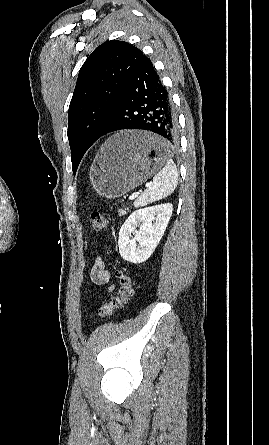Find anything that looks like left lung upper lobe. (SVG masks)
I'll return each mask as SVG.
<instances>
[{"instance_id":"5c2ea615","label":"left lung upper lobe","mask_w":269,"mask_h":445,"mask_svg":"<svg viewBox=\"0 0 269 445\" xmlns=\"http://www.w3.org/2000/svg\"><path fill=\"white\" fill-rule=\"evenodd\" d=\"M143 53L118 40L99 45L82 65L68 110L72 169L110 121Z\"/></svg>"}]
</instances>
